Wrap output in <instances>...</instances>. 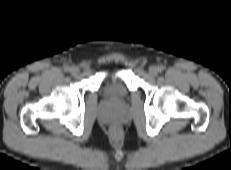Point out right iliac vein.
<instances>
[{
  "instance_id": "obj_1",
  "label": "right iliac vein",
  "mask_w": 231,
  "mask_h": 170,
  "mask_svg": "<svg viewBox=\"0 0 231 170\" xmlns=\"http://www.w3.org/2000/svg\"><path fill=\"white\" fill-rule=\"evenodd\" d=\"M79 71L80 70H79V68L77 66H73V67L70 68V72H71L72 75L79 74Z\"/></svg>"
}]
</instances>
